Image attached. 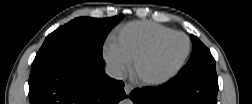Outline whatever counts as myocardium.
<instances>
[{
    "label": "myocardium",
    "mask_w": 252,
    "mask_h": 104,
    "mask_svg": "<svg viewBox=\"0 0 252 104\" xmlns=\"http://www.w3.org/2000/svg\"><path fill=\"white\" fill-rule=\"evenodd\" d=\"M179 35L185 37L186 41H187V49H186V52L183 54V56L181 57V59L174 65L172 66L171 68H169L168 70L164 71L163 73H160L158 75H154V76H147V75H140L138 72H137V67H138V64L144 59L146 58L148 55H149V51L150 49H145V50H142L141 52H139L135 58L133 59V70L134 72L137 74L138 78L145 82V83H148V82H151V81H154L156 79H159V78H162L164 76H166L169 72H172L174 70H176L177 68H179L182 63L184 62V60L186 59L188 53H189V50H190V39L189 37L184 34V33H180Z\"/></svg>",
    "instance_id": "1"
}]
</instances>
